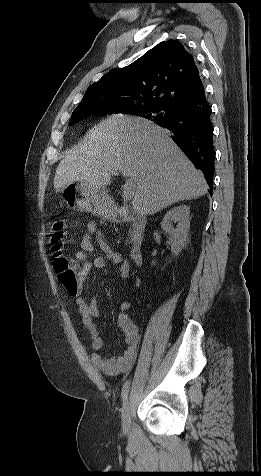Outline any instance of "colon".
Listing matches in <instances>:
<instances>
[{
    "mask_svg": "<svg viewBox=\"0 0 261 476\" xmlns=\"http://www.w3.org/2000/svg\"><path fill=\"white\" fill-rule=\"evenodd\" d=\"M54 233L52 235L53 266L59 282L67 291L77 290L79 276L77 270L69 260L61 253L60 242L64 237V223L56 221L54 223Z\"/></svg>",
    "mask_w": 261,
    "mask_h": 476,
    "instance_id": "colon-1",
    "label": "colon"
}]
</instances>
